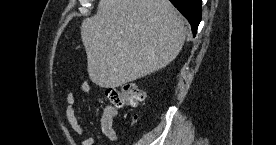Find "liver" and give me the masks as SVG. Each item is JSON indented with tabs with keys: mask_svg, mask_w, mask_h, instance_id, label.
Instances as JSON below:
<instances>
[{
	"mask_svg": "<svg viewBox=\"0 0 276 145\" xmlns=\"http://www.w3.org/2000/svg\"><path fill=\"white\" fill-rule=\"evenodd\" d=\"M185 36L169 0H100L81 25L90 80L116 88L154 73L177 57Z\"/></svg>",
	"mask_w": 276,
	"mask_h": 145,
	"instance_id": "liver-1",
	"label": "liver"
}]
</instances>
